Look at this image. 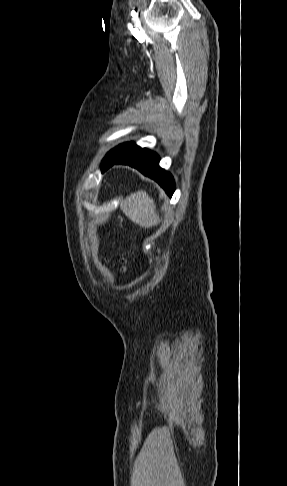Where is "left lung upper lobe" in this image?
<instances>
[{
	"label": "left lung upper lobe",
	"mask_w": 287,
	"mask_h": 486,
	"mask_svg": "<svg viewBox=\"0 0 287 486\" xmlns=\"http://www.w3.org/2000/svg\"><path fill=\"white\" fill-rule=\"evenodd\" d=\"M138 149H140V147L135 145V143H133V142L124 143V144H122L118 147H115L111 151H109L107 153V155L105 156V158L103 159L102 163L109 158L116 157V156H122V155L128 154L130 152L136 151Z\"/></svg>",
	"instance_id": "1"
}]
</instances>
